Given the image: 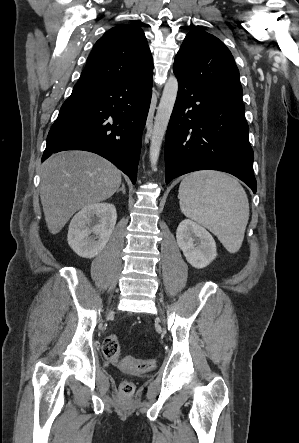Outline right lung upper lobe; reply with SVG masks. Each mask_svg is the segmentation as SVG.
Masks as SVG:
<instances>
[{
    "instance_id": "1",
    "label": "right lung upper lobe",
    "mask_w": 299,
    "mask_h": 443,
    "mask_svg": "<svg viewBox=\"0 0 299 443\" xmlns=\"http://www.w3.org/2000/svg\"><path fill=\"white\" fill-rule=\"evenodd\" d=\"M153 74L152 55L138 25H118L94 45L76 84H100Z\"/></svg>"
}]
</instances>
